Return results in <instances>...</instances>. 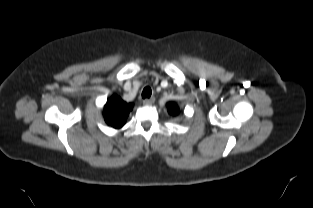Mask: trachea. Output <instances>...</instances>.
Listing matches in <instances>:
<instances>
[{
  "label": "trachea",
  "instance_id": "1",
  "mask_svg": "<svg viewBox=\"0 0 313 208\" xmlns=\"http://www.w3.org/2000/svg\"><path fill=\"white\" fill-rule=\"evenodd\" d=\"M151 94H152L151 88H150V87H145V88L143 89V92H142V98H143V99H145V98H150Z\"/></svg>",
  "mask_w": 313,
  "mask_h": 208
}]
</instances>
